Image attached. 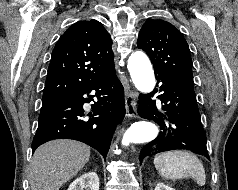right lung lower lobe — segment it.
<instances>
[{
	"mask_svg": "<svg viewBox=\"0 0 238 190\" xmlns=\"http://www.w3.org/2000/svg\"><path fill=\"white\" fill-rule=\"evenodd\" d=\"M93 90L97 102L92 105V113L86 115L83 104L94 100L83 95ZM91 114L98 117L85 119ZM124 115V89L113 71L64 100L42 106L32 151L47 141L71 138L95 148L106 158L115 127Z\"/></svg>",
	"mask_w": 238,
	"mask_h": 190,
	"instance_id": "1",
	"label": "right lung lower lobe"
}]
</instances>
